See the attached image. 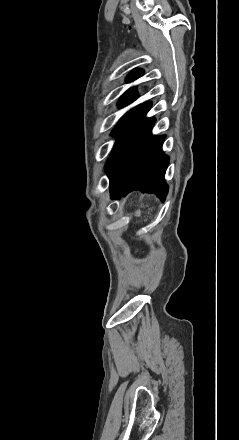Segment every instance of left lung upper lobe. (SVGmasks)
<instances>
[{
    "label": "left lung upper lobe",
    "mask_w": 239,
    "mask_h": 440,
    "mask_svg": "<svg viewBox=\"0 0 239 440\" xmlns=\"http://www.w3.org/2000/svg\"><path fill=\"white\" fill-rule=\"evenodd\" d=\"M143 70L136 69L130 73V75L127 78V82H131L143 75ZM138 97V93L135 88H130L128 91L124 93V95L119 100V107L126 106L133 102Z\"/></svg>",
    "instance_id": "5c2ea615"
}]
</instances>
